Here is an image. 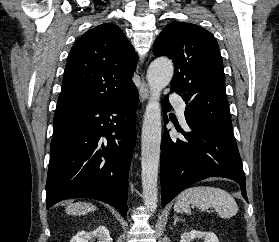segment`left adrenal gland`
<instances>
[{
	"mask_svg": "<svg viewBox=\"0 0 279 242\" xmlns=\"http://www.w3.org/2000/svg\"><path fill=\"white\" fill-rule=\"evenodd\" d=\"M177 221H182V219H179L177 216H174V225H176Z\"/></svg>",
	"mask_w": 279,
	"mask_h": 242,
	"instance_id": "a2214340",
	"label": "left adrenal gland"
}]
</instances>
